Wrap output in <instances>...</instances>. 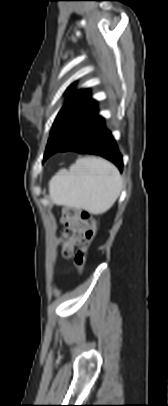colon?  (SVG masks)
Masks as SVG:
<instances>
[{"mask_svg":"<svg viewBox=\"0 0 168 406\" xmlns=\"http://www.w3.org/2000/svg\"><path fill=\"white\" fill-rule=\"evenodd\" d=\"M62 223L66 226L63 233V254L69 256L71 249L77 247L74 254V264L82 272L86 252L96 235V221L94 216L77 208H66L63 212Z\"/></svg>","mask_w":168,"mask_h":406,"instance_id":"5ec220e1","label":"colon"}]
</instances>
